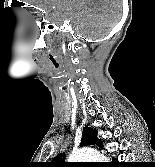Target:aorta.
Returning <instances> with one entry per match:
<instances>
[{
  "instance_id": "obj_1",
  "label": "aorta",
  "mask_w": 155,
  "mask_h": 167,
  "mask_svg": "<svg viewBox=\"0 0 155 167\" xmlns=\"http://www.w3.org/2000/svg\"><path fill=\"white\" fill-rule=\"evenodd\" d=\"M106 157L91 148H83L77 151H73L69 158V162H105Z\"/></svg>"
}]
</instances>
